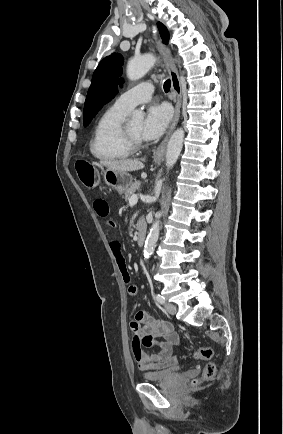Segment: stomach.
Wrapping results in <instances>:
<instances>
[{"label": "stomach", "instance_id": "stomach-1", "mask_svg": "<svg viewBox=\"0 0 283 434\" xmlns=\"http://www.w3.org/2000/svg\"><path fill=\"white\" fill-rule=\"evenodd\" d=\"M158 160H156L157 162ZM105 183L115 189L120 195L124 194L132 185L133 178L128 172L106 169L103 172Z\"/></svg>", "mask_w": 283, "mask_h": 434}]
</instances>
